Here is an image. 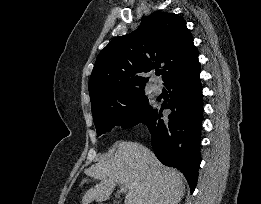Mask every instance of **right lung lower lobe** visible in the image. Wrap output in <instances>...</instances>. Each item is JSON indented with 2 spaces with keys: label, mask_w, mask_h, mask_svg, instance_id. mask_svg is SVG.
<instances>
[{
  "label": "right lung lower lobe",
  "mask_w": 261,
  "mask_h": 204,
  "mask_svg": "<svg viewBox=\"0 0 261 204\" xmlns=\"http://www.w3.org/2000/svg\"><path fill=\"white\" fill-rule=\"evenodd\" d=\"M198 59L168 80V104L153 109L143 120L151 133V144L156 157L167 166L181 170L193 193L201 162L199 153L202 123V88ZM163 109L172 113L163 119Z\"/></svg>",
  "instance_id": "right-lung-lower-lobe-1"
}]
</instances>
